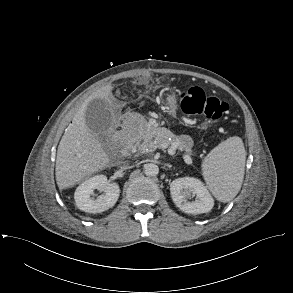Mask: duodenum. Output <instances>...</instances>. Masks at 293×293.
I'll list each match as a JSON object with an SVG mask.
<instances>
[{"label":"duodenum","instance_id":"obj_1","mask_svg":"<svg viewBox=\"0 0 293 293\" xmlns=\"http://www.w3.org/2000/svg\"><path fill=\"white\" fill-rule=\"evenodd\" d=\"M124 125H125V119L122 118L121 119V123H120V129L118 131V135H122L124 132ZM122 153L124 154H129L130 153V147L125 145L122 147Z\"/></svg>","mask_w":293,"mask_h":293}]
</instances>
